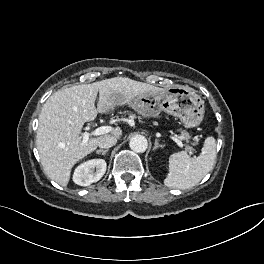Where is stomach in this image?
<instances>
[{"mask_svg": "<svg viewBox=\"0 0 264 264\" xmlns=\"http://www.w3.org/2000/svg\"><path fill=\"white\" fill-rule=\"evenodd\" d=\"M129 106L144 117H156L165 111L178 117L186 127L199 125L204 116V102L201 97L183 86L146 93L133 99ZM109 111L111 109L106 110Z\"/></svg>", "mask_w": 264, "mask_h": 264, "instance_id": "stomach-1", "label": "stomach"}]
</instances>
